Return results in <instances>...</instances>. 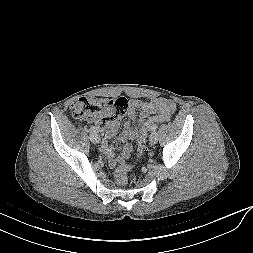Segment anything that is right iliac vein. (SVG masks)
Returning a JSON list of instances; mask_svg holds the SVG:
<instances>
[{
    "instance_id": "1",
    "label": "right iliac vein",
    "mask_w": 253,
    "mask_h": 253,
    "mask_svg": "<svg viewBox=\"0 0 253 253\" xmlns=\"http://www.w3.org/2000/svg\"><path fill=\"white\" fill-rule=\"evenodd\" d=\"M89 138L95 144L100 142V136L97 133H91Z\"/></svg>"
}]
</instances>
